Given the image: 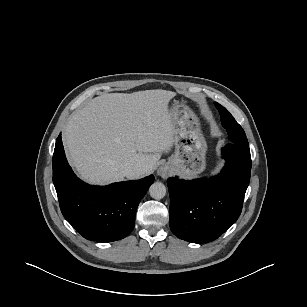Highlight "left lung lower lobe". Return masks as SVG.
<instances>
[{
	"instance_id": "obj_1",
	"label": "left lung lower lobe",
	"mask_w": 307,
	"mask_h": 307,
	"mask_svg": "<svg viewBox=\"0 0 307 307\" xmlns=\"http://www.w3.org/2000/svg\"><path fill=\"white\" fill-rule=\"evenodd\" d=\"M226 165L210 178L168 179L171 231L193 243L221 236L238 219L250 181V149L229 143L222 148Z\"/></svg>"
}]
</instances>
